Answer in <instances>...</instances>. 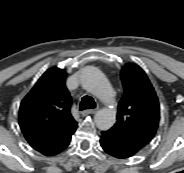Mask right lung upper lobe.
Wrapping results in <instances>:
<instances>
[{"label":"right lung upper lobe","instance_id":"obj_1","mask_svg":"<svg viewBox=\"0 0 184 173\" xmlns=\"http://www.w3.org/2000/svg\"><path fill=\"white\" fill-rule=\"evenodd\" d=\"M65 81V70L53 67L21 102L20 128L31 147L45 156L58 150L77 128Z\"/></svg>","mask_w":184,"mask_h":173}]
</instances>
